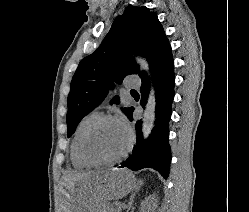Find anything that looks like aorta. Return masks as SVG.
I'll list each match as a JSON object with an SVG mask.
<instances>
[{"mask_svg":"<svg viewBox=\"0 0 249 212\" xmlns=\"http://www.w3.org/2000/svg\"><path fill=\"white\" fill-rule=\"evenodd\" d=\"M136 61L139 64L141 70H144L147 73H149V65L145 59L137 57ZM155 111H156V99L154 91H152L147 100V104L144 110L143 123H142V133L145 139H147L151 134L153 123L155 120Z\"/></svg>","mask_w":249,"mask_h":212,"instance_id":"aorta-1","label":"aorta"}]
</instances>
